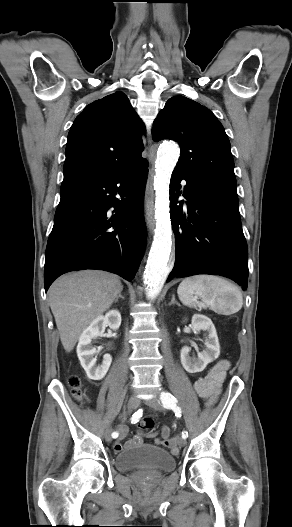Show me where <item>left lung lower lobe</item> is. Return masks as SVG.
<instances>
[{
    "mask_svg": "<svg viewBox=\"0 0 292 527\" xmlns=\"http://www.w3.org/2000/svg\"><path fill=\"white\" fill-rule=\"evenodd\" d=\"M182 179L173 172L170 181L176 260L167 281L173 277L212 274L243 284L244 289L248 279V256L236 191L186 180L183 192L187 199L186 215L183 202L177 201Z\"/></svg>",
    "mask_w": 292,
    "mask_h": 527,
    "instance_id": "1",
    "label": "left lung lower lobe"
}]
</instances>
